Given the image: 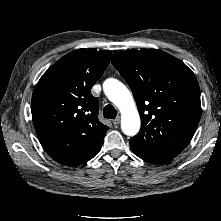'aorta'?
I'll list each match as a JSON object with an SVG mask.
<instances>
[{"label":"aorta","instance_id":"aorta-1","mask_svg":"<svg viewBox=\"0 0 221 221\" xmlns=\"http://www.w3.org/2000/svg\"><path fill=\"white\" fill-rule=\"evenodd\" d=\"M107 98L121 112V129L128 136L136 135L140 130V116L128 88L116 79H107L103 84Z\"/></svg>","mask_w":221,"mask_h":221}]
</instances>
